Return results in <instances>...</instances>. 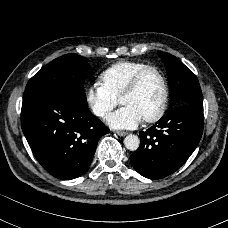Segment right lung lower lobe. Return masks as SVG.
I'll list each match as a JSON object with an SVG mask.
<instances>
[{
    "instance_id": "1",
    "label": "right lung lower lobe",
    "mask_w": 228,
    "mask_h": 228,
    "mask_svg": "<svg viewBox=\"0 0 228 228\" xmlns=\"http://www.w3.org/2000/svg\"><path fill=\"white\" fill-rule=\"evenodd\" d=\"M21 126L38 162L63 180L87 170L99 139L109 131L87 102L53 88L24 92Z\"/></svg>"
}]
</instances>
